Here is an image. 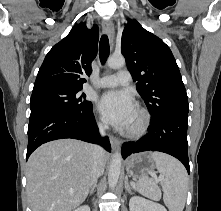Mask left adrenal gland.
Returning <instances> with one entry per match:
<instances>
[{
	"label": "left adrenal gland",
	"instance_id": "left-adrenal-gland-1",
	"mask_svg": "<svg viewBox=\"0 0 221 211\" xmlns=\"http://www.w3.org/2000/svg\"><path fill=\"white\" fill-rule=\"evenodd\" d=\"M125 189H126V192L131 193V187L128 182V176L125 177Z\"/></svg>",
	"mask_w": 221,
	"mask_h": 211
}]
</instances>
